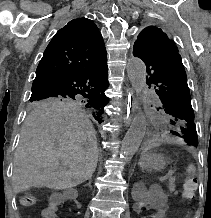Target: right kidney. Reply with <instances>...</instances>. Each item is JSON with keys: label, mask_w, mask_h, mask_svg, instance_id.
Segmentation results:
<instances>
[{"label": "right kidney", "mask_w": 211, "mask_h": 218, "mask_svg": "<svg viewBox=\"0 0 211 218\" xmlns=\"http://www.w3.org/2000/svg\"><path fill=\"white\" fill-rule=\"evenodd\" d=\"M77 196L78 192L74 188H66L63 193H49L48 209L45 210L47 218H61L62 209L60 206H64V202H72Z\"/></svg>", "instance_id": "1"}]
</instances>
